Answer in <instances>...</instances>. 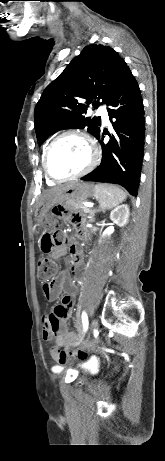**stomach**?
Listing matches in <instances>:
<instances>
[{"mask_svg":"<svg viewBox=\"0 0 165 461\" xmlns=\"http://www.w3.org/2000/svg\"><path fill=\"white\" fill-rule=\"evenodd\" d=\"M95 193L96 186L87 182L75 181L60 187L55 192L49 193L42 201L37 213L38 224L44 223L47 213L55 204L63 203L68 199H87L95 196Z\"/></svg>","mask_w":165,"mask_h":461,"instance_id":"obj_1","label":"stomach"}]
</instances>
